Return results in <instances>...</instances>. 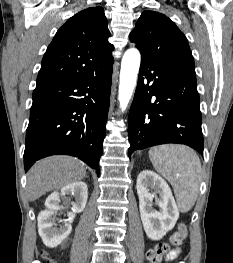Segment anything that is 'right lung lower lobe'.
Masks as SVG:
<instances>
[{
    "label": "right lung lower lobe",
    "instance_id": "right-lung-lower-lobe-1",
    "mask_svg": "<svg viewBox=\"0 0 233 263\" xmlns=\"http://www.w3.org/2000/svg\"><path fill=\"white\" fill-rule=\"evenodd\" d=\"M113 61L83 79L35 88L26 131L25 172L43 157L65 154L78 157L99 176Z\"/></svg>",
    "mask_w": 233,
    "mask_h": 263
}]
</instances>
